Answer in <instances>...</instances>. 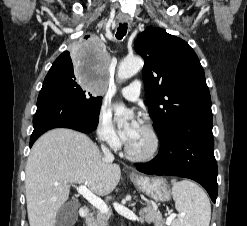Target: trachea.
I'll use <instances>...</instances> for the list:
<instances>
[{
  "instance_id": "obj_1",
  "label": "trachea",
  "mask_w": 247,
  "mask_h": 226,
  "mask_svg": "<svg viewBox=\"0 0 247 226\" xmlns=\"http://www.w3.org/2000/svg\"><path fill=\"white\" fill-rule=\"evenodd\" d=\"M127 33V24H120L118 29H117V33H116V38L118 40H121Z\"/></svg>"
}]
</instances>
